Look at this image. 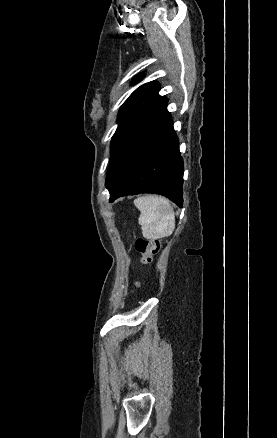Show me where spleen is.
I'll return each mask as SVG.
<instances>
[{"instance_id":"3e777b00","label":"spleen","mask_w":277,"mask_h":438,"mask_svg":"<svg viewBox=\"0 0 277 438\" xmlns=\"http://www.w3.org/2000/svg\"><path fill=\"white\" fill-rule=\"evenodd\" d=\"M134 204L140 212L138 224L141 226L143 238L158 240L173 234L175 216L169 200L158 196H142L134 200Z\"/></svg>"}]
</instances>
